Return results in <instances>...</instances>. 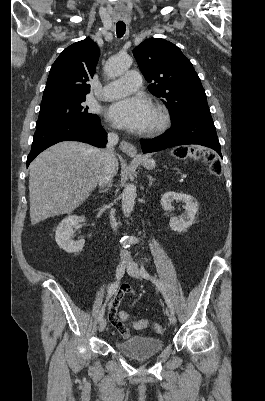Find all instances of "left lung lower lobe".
Listing matches in <instances>:
<instances>
[{
  "mask_svg": "<svg viewBox=\"0 0 265 401\" xmlns=\"http://www.w3.org/2000/svg\"><path fill=\"white\" fill-rule=\"evenodd\" d=\"M144 153L169 147L198 144L214 149L221 157V148L210 113H194L173 121L172 127L159 137L140 140Z\"/></svg>",
  "mask_w": 265,
  "mask_h": 401,
  "instance_id": "1",
  "label": "left lung lower lobe"
}]
</instances>
